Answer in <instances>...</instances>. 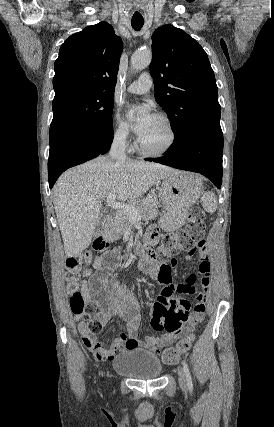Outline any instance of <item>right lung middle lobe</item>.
<instances>
[{
    "mask_svg": "<svg viewBox=\"0 0 274 427\" xmlns=\"http://www.w3.org/2000/svg\"><path fill=\"white\" fill-rule=\"evenodd\" d=\"M114 95L70 94L53 102V120L50 125V146L62 136L84 130L112 128Z\"/></svg>",
    "mask_w": 274,
    "mask_h": 427,
    "instance_id": "obj_1",
    "label": "right lung middle lobe"
}]
</instances>
